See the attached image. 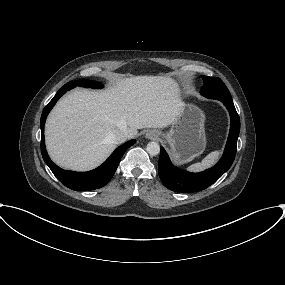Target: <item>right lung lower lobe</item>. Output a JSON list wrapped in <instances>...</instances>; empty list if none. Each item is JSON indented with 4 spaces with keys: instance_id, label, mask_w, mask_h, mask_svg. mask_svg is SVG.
Here are the masks:
<instances>
[{
    "instance_id": "1",
    "label": "right lung lower lobe",
    "mask_w": 285,
    "mask_h": 285,
    "mask_svg": "<svg viewBox=\"0 0 285 285\" xmlns=\"http://www.w3.org/2000/svg\"><path fill=\"white\" fill-rule=\"evenodd\" d=\"M71 88L64 85L53 97V99L44 108L40 120L41 126V153L45 163L49 166L53 174L57 179L63 183L66 187L77 190V191H87L94 190L106 185L113 177L121 157L125 151L135 143V140H130L118 147L111 156L98 168L89 172H73L66 171L55 165L49 158L44 141V124L46 117L50 110L53 108L57 100Z\"/></svg>"
}]
</instances>
